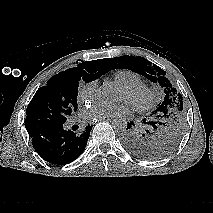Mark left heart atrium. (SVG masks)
<instances>
[{"label":"left heart atrium","mask_w":213,"mask_h":213,"mask_svg":"<svg viewBox=\"0 0 213 213\" xmlns=\"http://www.w3.org/2000/svg\"><path fill=\"white\" fill-rule=\"evenodd\" d=\"M129 112L130 105L127 102H122L115 105L99 102L85 109L83 116L87 121H94L108 117L126 115Z\"/></svg>","instance_id":"left-heart-atrium-1"}]
</instances>
